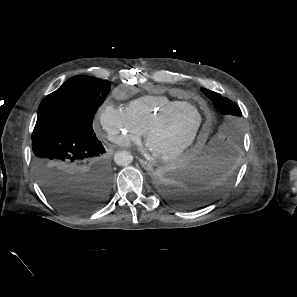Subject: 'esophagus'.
Instances as JSON below:
<instances>
[{
    "instance_id": "esophagus-1",
    "label": "esophagus",
    "mask_w": 297,
    "mask_h": 297,
    "mask_svg": "<svg viewBox=\"0 0 297 297\" xmlns=\"http://www.w3.org/2000/svg\"><path fill=\"white\" fill-rule=\"evenodd\" d=\"M139 162L145 170L151 171L153 169V165L151 163H149L143 159H139Z\"/></svg>"
}]
</instances>
